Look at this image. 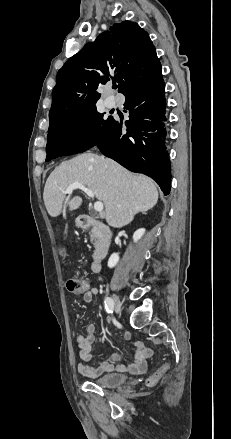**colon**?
Returning <instances> with one entry per match:
<instances>
[{
    "label": "colon",
    "mask_w": 231,
    "mask_h": 439,
    "mask_svg": "<svg viewBox=\"0 0 231 439\" xmlns=\"http://www.w3.org/2000/svg\"><path fill=\"white\" fill-rule=\"evenodd\" d=\"M88 288L87 282L81 278H70L67 281V289L75 294H81ZM148 354V351H147ZM167 366L160 367L155 373L146 379V384L151 386L155 384L166 372Z\"/></svg>",
    "instance_id": "5ec220e1"
}]
</instances>
